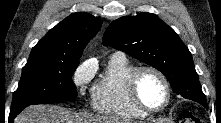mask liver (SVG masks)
Masks as SVG:
<instances>
[{
	"mask_svg": "<svg viewBox=\"0 0 221 123\" xmlns=\"http://www.w3.org/2000/svg\"><path fill=\"white\" fill-rule=\"evenodd\" d=\"M100 118L74 113L56 105H33L19 114L15 123H98Z\"/></svg>",
	"mask_w": 221,
	"mask_h": 123,
	"instance_id": "liver-1",
	"label": "liver"
}]
</instances>
